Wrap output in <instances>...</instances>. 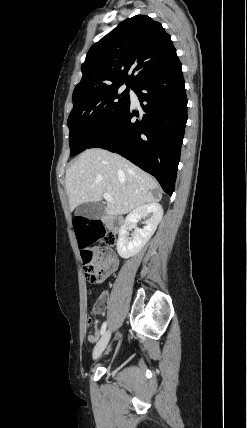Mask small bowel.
I'll use <instances>...</instances> for the list:
<instances>
[{
	"mask_svg": "<svg viewBox=\"0 0 247 428\" xmlns=\"http://www.w3.org/2000/svg\"><path fill=\"white\" fill-rule=\"evenodd\" d=\"M100 255H102L106 259V264L104 268L102 269L100 279L98 282H101L108 278L110 275H112L118 268L119 260L114 253L113 250L109 248H103L100 252ZM106 305V299L103 297L100 299L98 304L95 307L96 313H102ZM87 340L90 343H94L97 340V334H88Z\"/></svg>",
	"mask_w": 247,
	"mask_h": 428,
	"instance_id": "obj_1",
	"label": "small bowel"
}]
</instances>
